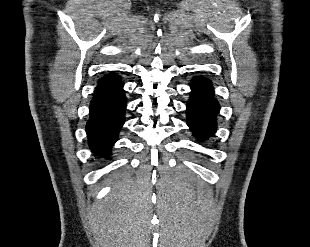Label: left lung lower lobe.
I'll return each mask as SVG.
<instances>
[{"label":"left lung lower lobe","instance_id":"0a47b994","mask_svg":"<svg viewBox=\"0 0 310 247\" xmlns=\"http://www.w3.org/2000/svg\"><path fill=\"white\" fill-rule=\"evenodd\" d=\"M190 86L192 91L187 104V124L196 137L204 139L216 131L219 104L208 79L196 77Z\"/></svg>","mask_w":310,"mask_h":247}]
</instances>
